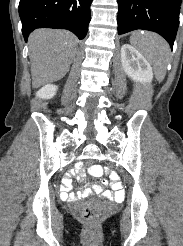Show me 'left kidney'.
<instances>
[{
    "label": "left kidney",
    "instance_id": "left-kidney-1",
    "mask_svg": "<svg viewBox=\"0 0 183 246\" xmlns=\"http://www.w3.org/2000/svg\"><path fill=\"white\" fill-rule=\"evenodd\" d=\"M121 62L125 73L132 80L140 83H150L153 71L146 58L129 44L121 47Z\"/></svg>",
    "mask_w": 183,
    "mask_h": 246
}]
</instances>
